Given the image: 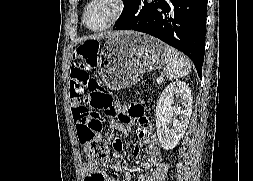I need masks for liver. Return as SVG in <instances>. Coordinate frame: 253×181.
Segmentation results:
<instances>
[{
    "label": "liver",
    "instance_id": "6515ba94",
    "mask_svg": "<svg viewBox=\"0 0 253 181\" xmlns=\"http://www.w3.org/2000/svg\"><path fill=\"white\" fill-rule=\"evenodd\" d=\"M103 36H104L103 34L92 35V36L89 37V39L99 40V39L103 38Z\"/></svg>",
    "mask_w": 253,
    "mask_h": 181
}]
</instances>
